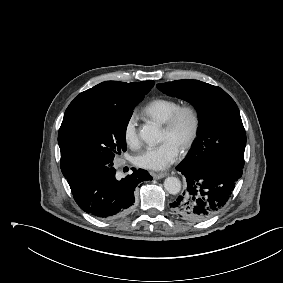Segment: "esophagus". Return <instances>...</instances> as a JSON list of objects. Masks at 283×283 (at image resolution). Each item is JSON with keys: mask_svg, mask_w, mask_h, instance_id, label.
<instances>
[{"mask_svg": "<svg viewBox=\"0 0 283 283\" xmlns=\"http://www.w3.org/2000/svg\"><path fill=\"white\" fill-rule=\"evenodd\" d=\"M168 174L167 173H153L152 176L154 179H162L166 177Z\"/></svg>", "mask_w": 283, "mask_h": 283, "instance_id": "esophagus-1", "label": "esophagus"}]
</instances>
